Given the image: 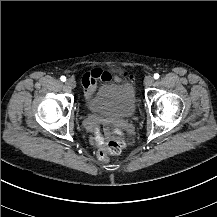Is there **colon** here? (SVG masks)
Listing matches in <instances>:
<instances>
[{
    "mask_svg": "<svg viewBox=\"0 0 217 217\" xmlns=\"http://www.w3.org/2000/svg\"><path fill=\"white\" fill-rule=\"evenodd\" d=\"M124 147V140L122 138H115L107 143L100 151L99 157L102 160L107 159L110 155L118 154Z\"/></svg>",
    "mask_w": 217,
    "mask_h": 217,
    "instance_id": "colon-1",
    "label": "colon"
}]
</instances>
